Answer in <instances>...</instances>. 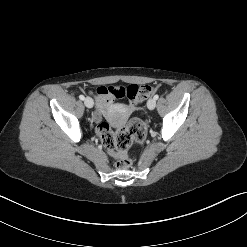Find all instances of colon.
<instances>
[{
  "label": "colon",
  "instance_id": "1",
  "mask_svg": "<svg viewBox=\"0 0 247 247\" xmlns=\"http://www.w3.org/2000/svg\"><path fill=\"white\" fill-rule=\"evenodd\" d=\"M108 91L116 97H127L128 105L136 107L156 91V87L150 85H130L128 87H108ZM98 134L104 147L115 156L116 165L120 169H127L131 166L129 149L135 142L145 139L147 128L139 119H131L128 124L121 129L113 130L109 124L101 123L98 127Z\"/></svg>",
  "mask_w": 247,
  "mask_h": 247
}]
</instances>
